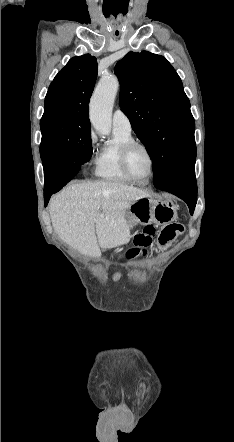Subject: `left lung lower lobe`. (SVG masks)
Returning a JSON list of instances; mask_svg holds the SVG:
<instances>
[{"instance_id": "1", "label": "left lung lower lobe", "mask_w": 234, "mask_h": 442, "mask_svg": "<svg viewBox=\"0 0 234 442\" xmlns=\"http://www.w3.org/2000/svg\"><path fill=\"white\" fill-rule=\"evenodd\" d=\"M196 146L184 158L176 172L158 189L170 192L183 199L194 212L197 202V184L195 178Z\"/></svg>"}]
</instances>
